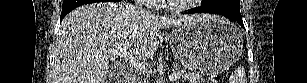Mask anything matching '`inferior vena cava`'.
Segmentation results:
<instances>
[{"mask_svg": "<svg viewBox=\"0 0 307 83\" xmlns=\"http://www.w3.org/2000/svg\"><path fill=\"white\" fill-rule=\"evenodd\" d=\"M144 4V1L143 0H137L136 1V5L137 6H142Z\"/></svg>", "mask_w": 307, "mask_h": 83, "instance_id": "1", "label": "inferior vena cava"}]
</instances>
